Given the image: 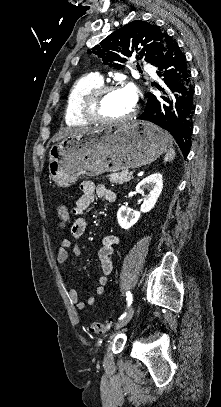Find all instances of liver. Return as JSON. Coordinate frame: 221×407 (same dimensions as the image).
Returning a JSON list of instances; mask_svg holds the SVG:
<instances>
[{"label": "liver", "mask_w": 221, "mask_h": 407, "mask_svg": "<svg viewBox=\"0 0 221 407\" xmlns=\"http://www.w3.org/2000/svg\"><path fill=\"white\" fill-rule=\"evenodd\" d=\"M95 131V129L84 127V128H67L59 131L56 135H54L52 142H57L68 135L78 134V133H88Z\"/></svg>", "instance_id": "obj_1"}]
</instances>
